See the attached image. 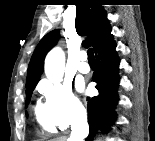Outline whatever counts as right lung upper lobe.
Listing matches in <instances>:
<instances>
[{"label": "right lung upper lobe", "instance_id": "right-lung-upper-lobe-1", "mask_svg": "<svg viewBox=\"0 0 155 141\" xmlns=\"http://www.w3.org/2000/svg\"><path fill=\"white\" fill-rule=\"evenodd\" d=\"M75 27L79 35L87 36L84 44L92 46L93 49L104 36L111 32L106 11L99 0H77ZM58 38L59 31L53 30L37 45L29 63L26 87L37 84L43 71L45 55L55 45Z\"/></svg>", "mask_w": 155, "mask_h": 141}]
</instances>
